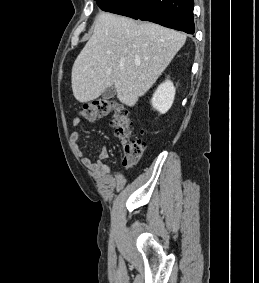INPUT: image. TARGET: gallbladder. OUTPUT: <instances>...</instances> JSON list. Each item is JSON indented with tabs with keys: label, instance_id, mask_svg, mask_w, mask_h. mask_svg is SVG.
<instances>
[{
	"label": "gallbladder",
	"instance_id": "gallbladder-1",
	"mask_svg": "<svg viewBox=\"0 0 259 283\" xmlns=\"http://www.w3.org/2000/svg\"><path fill=\"white\" fill-rule=\"evenodd\" d=\"M116 95V89L114 86L108 87L103 93L102 98L105 100L111 99Z\"/></svg>",
	"mask_w": 259,
	"mask_h": 283
}]
</instances>
